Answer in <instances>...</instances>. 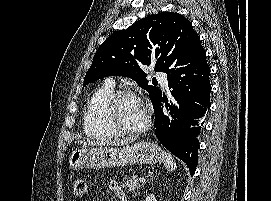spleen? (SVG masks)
<instances>
[{
	"mask_svg": "<svg viewBox=\"0 0 271 201\" xmlns=\"http://www.w3.org/2000/svg\"><path fill=\"white\" fill-rule=\"evenodd\" d=\"M162 162L164 163L166 169L169 172L174 171L177 167L173 156L170 153L165 152V151L163 152Z\"/></svg>",
	"mask_w": 271,
	"mask_h": 201,
	"instance_id": "1",
	"label": "spleen"
}]
</instances>
